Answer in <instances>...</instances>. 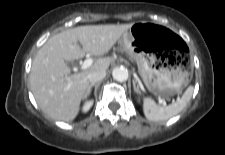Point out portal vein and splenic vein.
<instances>
[{
    "label": "portal vein and splenic vein",
    "mask_w": 225,
    "mask_h": 155,
    "mask_svg": "<svg viewBox=\"0 0 225 155\" xmlns=\"http://www.w3.org/2000/svg\"><path fill=\"white\" fill-rule=\"evenodd\" d=\"M92 63H93L92 58H88V59L84 60V62L81 65V70H85V69L89 68L92 65ZM158 102H159V104H161L164 107L167 106L166 101L162 98H159Z\"/></svg>",
    "instance_id": "1"
}]
</instances>
